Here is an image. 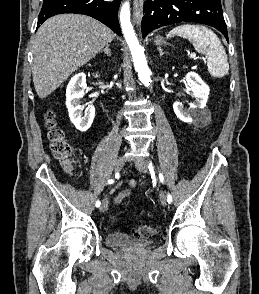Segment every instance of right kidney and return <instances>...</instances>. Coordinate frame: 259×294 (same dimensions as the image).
I'll use <instances>...</instances> for the list:
<instances>
[{"label":"right kidney","mask_w":259,"mask_h":294,"mask_svg":"<svg viewBox=\"0 0 259 294\" xmlns=\"http://www.w3.org/2000/svg\"><path fill=\"white\" fill-rule=\"evenodd\" d=\"M86 87V75L78 73L71 78L66 89V106L69 118L74 126L82 132L90 128L95 116L93 105H88L84 116L81 113L84 106L80 105V99L84 96Z\"/></svg>","instance_id":"ca27d5eb"}]
</instances>
